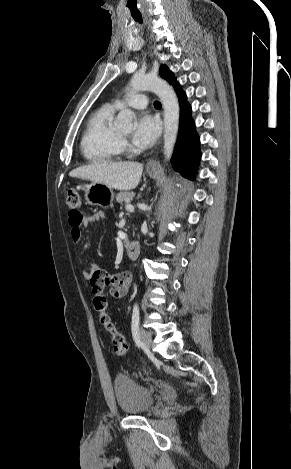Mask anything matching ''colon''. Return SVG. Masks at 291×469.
I'll use <instances>...</instances> for the list:
<instances>
[{
  "instance_id": "obj_1",
  "label": "colon",
  "mask_w": 291,
  "mask_h": 469,
  "mask_svg": "<svg viewBox=\"0 0 291 469\" xmlns=\"http://www.w3.org/2000/svg\"><path fill=\"white\" fill-rule=\"evenodd\" d=\"M66 203L70 214H73L79 218L84 216V213L82 211L81 196L76 190H68ZM94 299L95 300L92 302V305L93 308L99 314L100 323L102 324L104 329L111 335V352L118 357L124 356L128 348L127 342L123 334L118 331L114 322L111 320L109 314L107 313L108 295L106 293H97L94 296Z\"/></svg>"
}]
</instances>
